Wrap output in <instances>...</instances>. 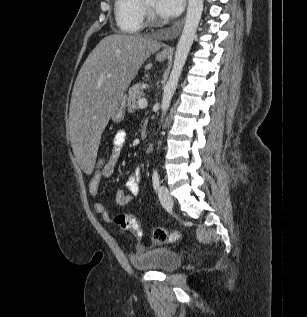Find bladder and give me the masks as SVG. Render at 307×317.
I'll list each match as a JSON object with an SVG mask.
<instances>
[{"label":"bladder","mask_w":307,"mask_h":317,"mask_svg":"<svg viewBox=\"0 0 307 317\" xmlns=\"http://www.w3.org/2000/svg\"><path fill=\"white\" fill-rule=\"evenodd\" d=\"M130 262L138 271H165L170 272L177 269L182 258L180 254L169 248H153L140 255H131Z\"/></svg>","instance_id":"31cf9c89"}]
</instances>
